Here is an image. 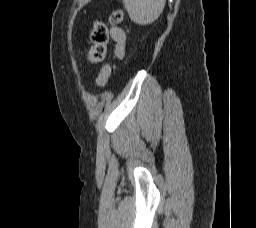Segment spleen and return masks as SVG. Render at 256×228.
Returning <instances> with one entry per match:
<instances>
[{
	"label": "spleen",
	"instance_id": "obj_1",
	"mask_svg": "<svg viewBox=\"0 0 256 228\" xmlns=\"http://www.w3.org/2000/svg\"><path fill=\"white\" fill-rule=\"evenodd\" d=\"M166 0H123L130 19L139 25L153 23L162 13Z\"/></svg>",
	"mask_w": 256,
	"mask_h": 228
}]
</instances>
